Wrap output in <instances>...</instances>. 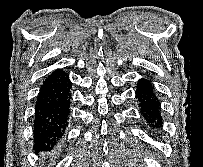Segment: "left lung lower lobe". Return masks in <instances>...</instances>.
Returning a JSON list of instances; mask_svg holds the SVG:
<instances>
[{
	"label": "left lung lower lobe",
	"mask_w": 203,
	"mask_h": 167,
	"mask_svg": "<svg viewBox=\"0 0 203 167\" xmlns=\"http://www.w3.org/2000/svg\"><path fill=\"white\" fill-rule=\"evenodd\" d=\"M136 98L140 112L146 120L148 126L157 130L162 125L161 104L152 83L141 78L136 86Z\"/></svg>",
	"instance_id": "0a47b994"
}]
</instances>
